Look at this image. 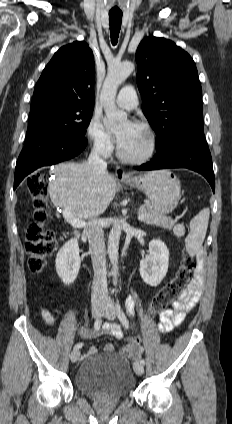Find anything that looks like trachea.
Segmentation results:
<instances>
[{"label":"trachea","mask_w":232,"mask_h":424,"mask_svg":"<svg viewBox=\"0 0 232 424\" xmlns=\"http://www.w3.org/2000/svg\"><path fill=\"white\" fill-rule=\"evenodd\" d=\"M122 12H109L110 36L113 45L118 42L121 29Z\"/></svg>","instance_id":"obj_1"}]
</instances>
